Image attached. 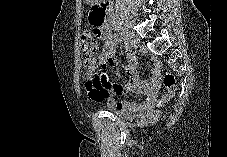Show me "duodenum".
Listing matches in <instances>:
<instances>
[{"label": "duodenum", "instance_id": "1", "mask_svg": "<svg viewBox=\"0 0 227 157\" xmlns=\"http://www.w3.org/2000/svg\"><path fill=\"white\" fill-rule=\"evenodd\" d=\"M110 6L111 0H100L98 4H93V9H98L99 16H90V24L97 25L98 32H109L106 15Z\"/></svg>", "mask_w": 227, "mask_h": 157}]
</instances>
